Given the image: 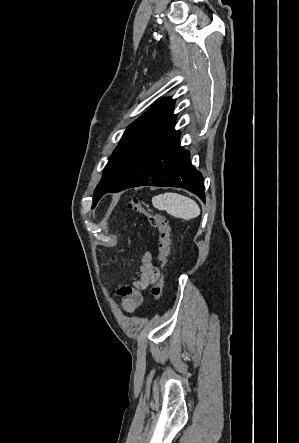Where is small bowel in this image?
I'll return each mask as SVG.
<instances>
[{
	"label": "small bowel",
	"mask_w": 299,
	"mask_h": 443,
	"mask_svg": "<svg viewBox=\"0 0 299 443\" xmlns=\"http://www.w3.org/2000/svg\"><path fill=\"white\" fill-rule=\"evenodd\" d=\"M136 263L133 258L122 263L124 268H131ZM139 277L130 285H122L116 290V294L122 300V308L125 313L132 314L142 304L143 291L158 278V269L153 264L151 252L141 255L138 264Z\"/></svg>",
	"instance_id": "1"
}]
</instances>
